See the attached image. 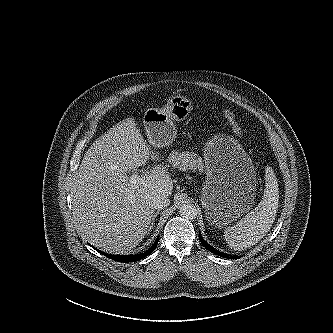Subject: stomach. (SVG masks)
I'll use <instances>...</instances> for the list:
<instances>
[{
  "instance_id": "obj_1",
  "label": "stomach",
  "mask_w": 333,
  "mask_h": 333,
  "mask_svg": "<svg viewBox=\"0 0 333 333\" xmlns=\"http://www.w3.org/2000/svg\"><path fill=\"white\" fill-rule=\"evenodd\" d=\"M192 102L173 95L161 108H149L143 123L149 143L154 147L170 145L176 138L173 120L189 116ZM206 181L202 200L208 223L222 228L248 212L262 195V176L241 145L223 134L210 137L204 144Z\"/></svg>"
}]
</instances>
